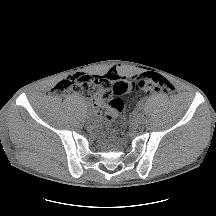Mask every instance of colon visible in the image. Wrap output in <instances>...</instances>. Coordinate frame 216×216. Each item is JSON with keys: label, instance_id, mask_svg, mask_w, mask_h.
<instances>
[{"label": "colon", "instance_id": "1", "mask_svg": "<svg viewBox=\"0 0 216 216\" xmlns=\"http://www.w3.org/2000/svg\"><path fill=\"white\" fill-rule=\"evenodd\" d=\"M55 89L61 92H71L85 98L101 96L106 102L100 107L106 120H114L124 109V102L120 95L142 90L146 93L173 92V85L164 77L157 74H147L133 80H117L113 83L105 76L75 74L60 81ZM115 95L116 97H112Z\"/></svg>", "mask_w": 216, "mask_h": 216}]
</instances>
